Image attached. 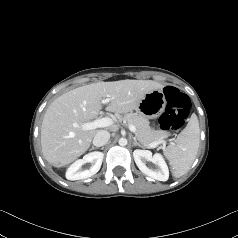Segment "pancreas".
I'll use <instances>...</instances> for the list:
<instances>
[{
	"label": "pancreas",
	"mask_w": 238,
	"mask_h": 238,
	"mask_svg": "<svg viewBox=\"0 0 238 238\" xmlns=\"http://www.w3.org/2000/svg\"><path fill=\"white\" fill-rule=\"evenodd\" d=\"M117 119L119 122H124L129 125H134L136 127V138L145 147H149V144L162 140L168 137V133L162 130H154L149 126V121L146 117L142 115H137L135 113H128L124 116L118 115Z\"/></svg>",
	"instance_id": "cf45deb5"
}]
</instances>
